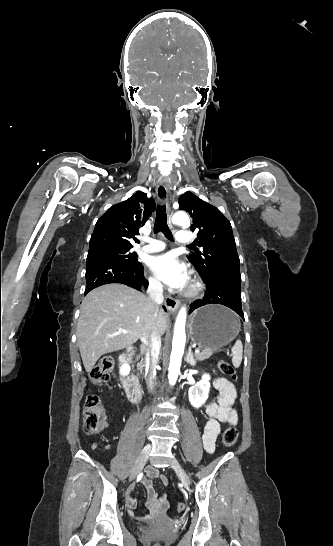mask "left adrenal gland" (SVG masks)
Instances as JSON below:
<instances>
[{"mask_svg":"<svg viewBox=\"0 0 333 546\" xmlns=\"http://www.w3.org/2000/svg\"><path fill=\"white\" fill-rule=\"evenodd\" d=\"M186 362L190 364L191 366H194L196 364V360L194 359V355L192 353L191 346L188 348V354L186 356Z\"/></svg>","mask_w":333,"mask_h":546,"instance_id":"a2214340","label":"left adrenal gland"}]
</instances>
